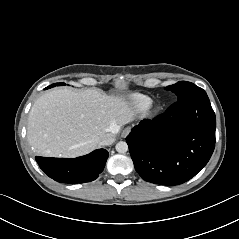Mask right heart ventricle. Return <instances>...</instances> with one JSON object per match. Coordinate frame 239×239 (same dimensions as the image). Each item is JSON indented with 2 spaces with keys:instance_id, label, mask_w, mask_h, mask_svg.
Wrapping results in <instances>:
<instances>
[{
  "instance_id": "1",
  "label": "right heart ventricle",
  "mask_w": 239,
  "mask_h": 239,
  "mask_svg": "<svg viewBox=\"0 0 239 239\" xmlns=\"http://www.w3.org/2000/svg\"><path fill=\"white\" fill-rule=\"evenodd\" d=\"M130 101L132 105L139 110H145L152 104V98L143 94H133L130 97Z\"/></svg>"
}]
</instances>
